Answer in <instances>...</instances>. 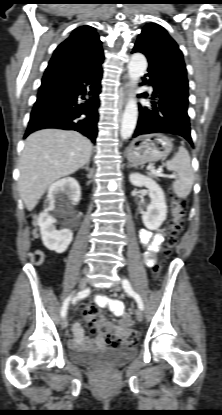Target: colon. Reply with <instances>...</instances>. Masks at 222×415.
Wrapping results in <instances>:
<instances>
[{"mask_svg": "<svg viewBox=\"0 0 222 415\" xmlns=\"http://www.w3.org/2000/svg\"><path fill=\"white\" fill-rule=\"evenodd\" d=\"M187 202L184 198L177 197L174 200L173 220L170 223L166 254H169L179 242L180 235L185 226ZM154 273L160 271V266L153 268ZM84 318L91 333L105 334L112 346H119L125 343H133L139 339L137 330H121L109 324L96 306H89L84 310Z\"/></svg>", "mask_w": 222, "mask_h": 415, "instance_id": "colon-1", "label": "colon"}]
</instances>
